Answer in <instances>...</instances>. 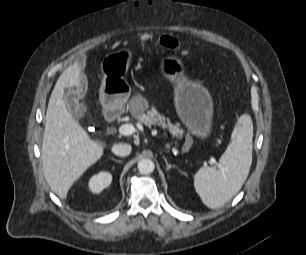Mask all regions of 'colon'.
I'll return each instance as SVG.
<instances>
[{"label": "colon", "instance_id": "obj_1", "mask_svg": "<svg viewBox=\"0 0 306 255\" xmlns=\"http://www.w3.org/2000/svg\"><path fill=\"white\" fill-rule=\"evenodd\" d=\"M151 38V36L149 34H144L142 37H141V40L142 41H147ZM159 42L161 45H163L164 47L166 48H169V49H181V45L180 43L172 38V37H169V36H161L159 38Z\"/></svg>", "mask_w": 306, "mask_h": 255}]
</instances>
